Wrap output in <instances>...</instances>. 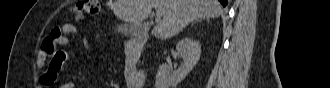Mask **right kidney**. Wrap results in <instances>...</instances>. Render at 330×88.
Listing matches in <instances>:
<instances>
[{
	"label": "right kidney",
	"mask_w": 330,
	"mask_h": 88,
	"mask_svg": "<svg viewBox=\"0 0 330 88\" xmlns=\"http://www.w3.org/2000/svg\"><path fill=\"white\" fill-rule=\"evenodd\" d=\"M176 50L183 58V66L173 71L168 64H162L156 74L155 88H170L179 84L194 68L200 59L201 45L199 41L186 37L176 45Z\"/></svg>",
	"instance_id": "1"
}]
</instances>
